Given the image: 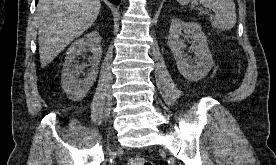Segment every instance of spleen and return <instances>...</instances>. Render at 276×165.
Listing matches in <instances>:
<instances>
[{
	"instance_id": "1",
	"label": "spleen",
	"mask_w": 276,
	"mask_h": 165,
	"mask_svg": "<svg viewBox=\"0 0 276 165\" xmlns=\"http://www.w3.org/2000/svg\"><path fill=\"white\" fill-rule=\"evenodd\" d=\"M181 5H186L190 0H177ZM215 13L210 17L211 25L217 30H230L236 23L235 4L233 0H200Z\"/></svg>"
}]
</instances>
